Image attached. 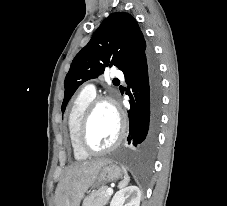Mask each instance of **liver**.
Here are the masks:
<instances>
[{
    "mask_svg": "<svg viewBox=\"0 0 227 206\" xmlns=\"http://www.w3.org/2000/svg\"><path fill=\"white\" fill-rule=\"evenodd\" d=\"M107 159L75 163L68 167L55 191L56 206H79L87 189L96 181Z\"/></svg>",
    "mask_w": 227,
    "mask_h": 206,
    "instance_id": "6515ba94",
    "label": "liver"
}]
</instances>
